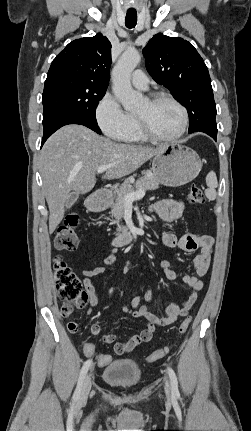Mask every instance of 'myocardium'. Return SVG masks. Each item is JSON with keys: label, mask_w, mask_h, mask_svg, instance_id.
Segmentation results:
<instances>
[{"label": "myocardium", "mask_w": 251, "mask_h": 431, "mask_svg": "<svg viewBox=\"0 0 251 431\" xmlns=\"http://www.w3.org/2000/svg\"><path fill=\"white\" fill-rule=\"evenodd\" d=\"M150 104H156L161 101H168L173 103L178 107L182 114V124L178 132L172 136L164 137L156 134L149 126L147 121L141 117L136 115V120L139 126L141 133L149 140L156 142H174L180 139L186 132L189 124V114L186 107L175 97L167 93H157L152 95L148 100Z\"/></svg>", "instance_id": "f54148a6"}]
</instances>
